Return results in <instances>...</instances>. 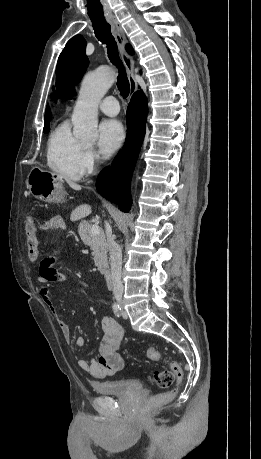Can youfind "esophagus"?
<instances>
[{
  "label": "esophagus",
  "mask_w": 261,
  "mask_h": 459,
  "mask_svg": "<svg viewBox=\"0 0 261 459\" xmlns=\"http://www.w3.org/2000/svg\"><path fill=\"white\" fill-rule=\"evenodd\" d=\"M108 22L111 25L113 35L118 45L120 56L126 68L129 85H130V97L137 91V83L134 78L135 74V65L134 60L131 55L126 50L127 39L125 37L124 31L115 17L108 19Z\"/></svg>",
  "instance_id": "1"
}]
</instances>
